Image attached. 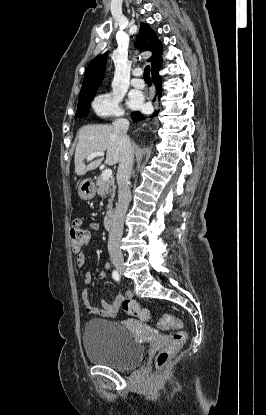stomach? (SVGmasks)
<instances>
[{"label": "stomach", "mask_w": 266, "mask_h": 415, "mask_svg": "<svg viewBox=\"0 0 266 415\" xmlns=\"http://www.w3.org/2000/svg\"><path fill=\"white\" fill-rule=\"evenodd\" d=\"M78 195L82 200H91L95 196V185L91 179L83 180L78 188Z\"/></svg>", "instance_id": "obj_1"}]
</instances>
